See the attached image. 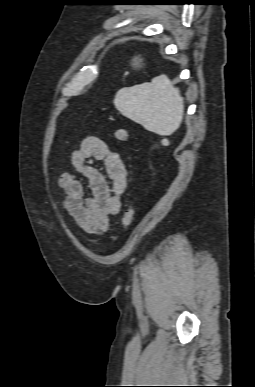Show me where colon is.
<instances>
[{"instance_id":"colon-1","label":"colon","mask_w":255,"mask_h":387,"mask_svg":"<svg viewBox=\"0 0 255 387\" xmlns=\"http://www.w3.org/2000/svg\"><path fill=\"white\" fill-rule=\"evenodd\" d=\"M115 137L117 140L121 142H128L130 141V132L127 128L120 127L116 129L115 131ZM134 208L132 205H130L124 212L123 217H122V225L124 227H128L132 224L133 219H134Z\"/></svg>"}]
</instances>
